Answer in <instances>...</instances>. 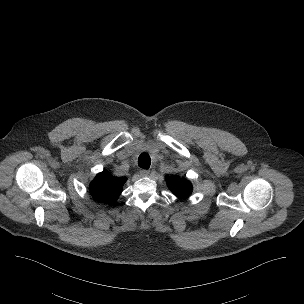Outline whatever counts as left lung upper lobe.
<instances>
[{
	"instance_id": "5c2ea615",
	"label": "left lung upper lobe",
	"mask_w": 304,
	"mask_h": 304,
	"mask_svg": "<svg viewBox=\"0 0 304 304\" xmlns=\"http://www.w3.org/2000/svg\"><path fill=\"white\" fill-rule=\"evenodd\" d=\"M167 183L173 194L179 198L186 197L192 192V184L184 178L167 177Z\"/></svg>"
}]
</instances>
